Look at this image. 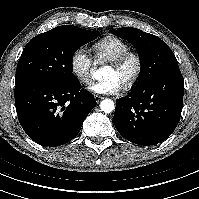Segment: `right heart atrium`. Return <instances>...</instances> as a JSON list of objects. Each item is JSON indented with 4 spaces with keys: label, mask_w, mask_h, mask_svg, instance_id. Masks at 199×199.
<instances>
[{
    "label": "right heart atrium",
    "mask_w": 199,
    "mask_h": 199,
    "mask_svg": "<svg viewBox=\"0 0 199 199\" xmlns=\"http://www.w3.org/2000/svg\"><path fill=\"white\" fill-rule=\"evenodd\" d=\"M93 67V60L83 47L77 48L70 58V69L81 82H88Z\"/></svg>",
    "instance_id": "d8ad5b80"
}]
</instances>
